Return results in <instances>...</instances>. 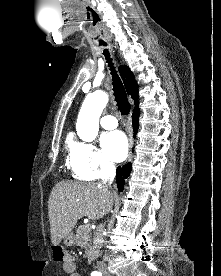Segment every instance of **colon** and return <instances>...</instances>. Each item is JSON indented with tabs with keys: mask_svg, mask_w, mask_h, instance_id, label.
<instances>
[{
	"mask_svg": "<svg viewBox=\"0 0 221 276\" xmlns=\"http://www.w3.org/2000/svg\"><path fill=\"white\" fill-rule=\"evenodd\" d=\"M66 245H55L52 249L53 257L55 261L64 262L67 258Z\"/></svg>",
	"mask_w": 221,
	"mask_h": 276,
	"instance_id": "1",
	"label": "colon"
}]
</instances>
